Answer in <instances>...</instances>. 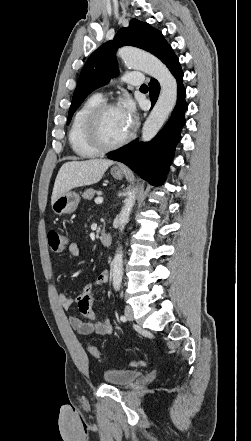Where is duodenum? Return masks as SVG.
<instances>
[{
	"instance_id": "410a0bca",
	"label": "duodenum",
	"mask_w": 251,
	"mask_h": 441,
	"mask_svg": "<svg viewBox=\"0 0 251 441\" xmlns=\"http://www.w3.org/2000/svg\"><path fill=\"white\" fill-rule=\"evenodd\" d=\"M100 242L104 246H109L112 243V235L109 232L102 233L100 235Z\"/></svg>"
}]
</instances>
